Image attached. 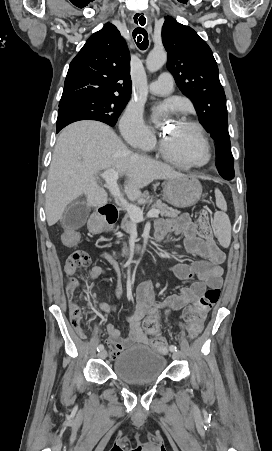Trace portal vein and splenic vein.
<instances>
[{
	"mask_svg": "<svg viewBox=\"0 0 272 451\" xmlns=\"http://www.w3.org/2000/svg\"><path fill=\"white\" fill-rule=\"evenodd\" d=\"M79 160H81V158H79ZM100 176L101 178H104L106 184H108L112 196H115V198L119 200L120 204L124 206L125 210H127V214H129L131 220H133L135 224H138V222H144L142 210L137 208V206H133V204H128L127 200L122 198L117 184V180L119 178L118 172H116V170H106V172H103ZM159 214H161L160 210H149L147 218H159Z\"/></svg>",
	"mask_w": 272,
	"mask_h": 451,
	"instance_id": "portal-vein-and-splenic-vein-1",
	"label": "portal vein and splenic vein"
}]
</instances>
